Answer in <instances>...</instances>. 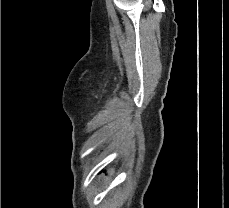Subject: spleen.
<instances>
[{"instance_id": "3e777b00", "label": "spleen", "mask_w": 229, "mask_h": 208, "mask_svg": "<svg viewBox=\"0 0 229 208\" xmlns=\"http://www.w3.org/2000/svg\"><path fill=\"white\" fill-rule=\"evenodd\" d=\"M126 198L124 192H118L115 196L114 206L115 208H121L122 204H124Z\"/></svg>"}]
</instances>
